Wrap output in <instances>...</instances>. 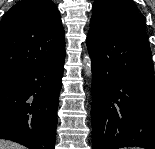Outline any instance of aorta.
Masks as SVG:
<instances>
[{
    "mask_svg": "<svg viewBox=\"0 0 155 149\" xmlns=\"http://www.w3.org/2000/svg\"><path fill=\"white\" fill-rule=\"evenodd\" d=\"M83 65H84L85 75L90 78L92 75V63L88 55L84 56Z\"/></svg>",
    "mask_w": 155,
    "mask_h": 149,
    "instance_id": "762f6f07",
    "label": "aorta"
}]
</instances>
